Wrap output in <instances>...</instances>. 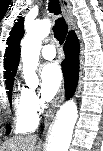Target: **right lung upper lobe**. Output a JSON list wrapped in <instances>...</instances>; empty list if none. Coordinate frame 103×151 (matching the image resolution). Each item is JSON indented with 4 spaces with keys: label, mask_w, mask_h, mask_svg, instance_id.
Returning a JSON list of instances; mask_svg holds the SVG:
<instances>
[{
    "label": "right lung upper lobe",
    "mask_w": 103,
    "mask_h": 151,
    "mask_svg": "<svg viewBox=\"0 0 103 151\" xmlns=\"http://www.w3.org/2000/svg\"><path fill=\"white\" fill-rule=\"evenodd\" d=\"M24 34L23 17L17 20L10 36L7 39V45L4 56L5 79L13 80L19 65L20 58V41Z\"/></svg>",
    "instance_id": "cb5924a9"
}]
</instances>
